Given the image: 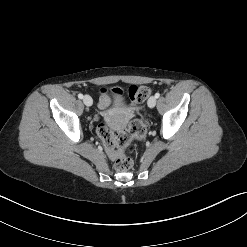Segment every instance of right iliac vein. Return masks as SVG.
Returning <instances> with one entry per match:
<instances>
[{"mask_svg":"<svg viewBox=\"0 0 247 247\" xmlns=\"http://www.w3.org/2000/svg\"><path fill=\"white\" fill-rule=\"evenodd\" d=\"M83 102L86 106H91L93 104V100L89 95L83 97Z\"/></svg>","mask_w":247,"mask_h":247,"instance_id":"right-iliac-vein-1","label":"right iliac vein"}]
</instances>
